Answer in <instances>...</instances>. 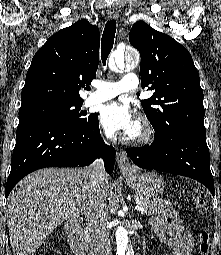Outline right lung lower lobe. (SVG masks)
<instances>
[{
    "mask_svg": "<svg viewBox=\"0 0 221 255\" xmlns=\"http://www.w3.org/2000/svg\"><path fill=\"white\" fill-rule=\"evenodd\" d=\"M115 149L104 144L98 116L82 127L51 118L20 117L5 196L27 174L46 167H83L102 156L105 170H114Z\"/></svg>",
    "mask_w": 221,
    "mask_h": 255,
    "instance_id": "right-lung-lower-lobe-1",
    "label": "right lung lower lobe"
}]
</instances>
